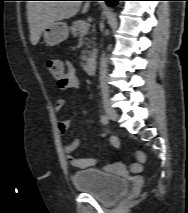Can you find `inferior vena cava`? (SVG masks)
I'll use <instances>...</instances> for the list:
<instances>
[{
    "label": "inferior vena cava",
    "instance_id": "obj_1",
    "mask_svg": "<svg viewBox=\"0 0 188 213\" xmlns=\"http://www.w3.org/2000/svg\"><path fill=\"white\" fill-rule=\"evenodd\" d=\"M107 71V58L103 52L100 65V84L103 92H108Z\"/></svg>",
    "mask_w": 188,
    "mask_h": 213
}]
</instances>
